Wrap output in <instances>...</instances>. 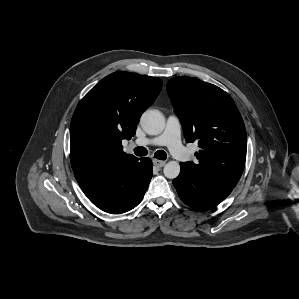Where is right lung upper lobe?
<instances>
[{"label": "right lung upper lobe", "mask_w": 299, "mask_h": 299, "mask_svg": "<svg viewBox=\"0 0 299 299\" xmlns=\"http://www.w3.org/2000/svg\"><path fill=\"white\" fill-rule=\"evenodd\" d=\"M162 81L129 72L103 78L79 102L70 125L74 173H97L136 159L122 140L136 132L141 114L154 102Z\"/></svg>", "instance_id": "right-lung-upper-lobe-1"}]
</instances>
